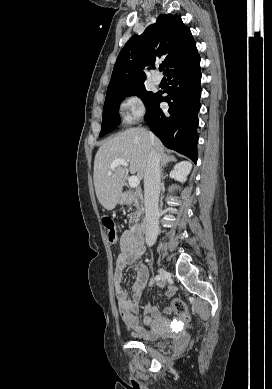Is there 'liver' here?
Segmentation results:
<instances>
[{"label":"liver","mask_w":272,"mask_h":389,"mask_svg":"<svg viewBox=\"0 0 272 389\" xmlns=\"http://www.w3.org/2000/svg\"><path fill=\"white\" fill-rule=\"evenodd\" d=\"M151 148H155L160 157L165 156L162 142L140 127L126 129L100 146L94 160V186L98 201L105 209L112 210L118 204L122 181L128 171L122 166L111 170V163L115 159L128 161L130 173H137L142 180ZM110 171L111 175L108 174Z\"/></svg>","instance_id":"obj_1"}]
</instances>
